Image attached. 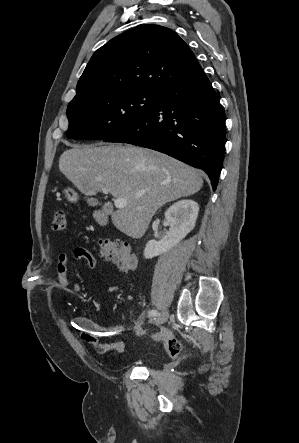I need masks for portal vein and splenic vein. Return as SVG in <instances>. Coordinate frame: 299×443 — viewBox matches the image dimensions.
Here are the masks:
<instances>
[{
	"instance_id": "obj_1",
	"label": "portal vein and splenic vein",
	"mask_w": 299,
	"mask_h": 443,
	"mask_svg": "<svg viewBox=\"0 0 299 443\" xmlns=\"http://www.w3.org/2000/svg\"><path fill=\"white\" fill-rule=\"evenodd\" d=\"M102 192L104 194H109V191L105 188L102 189ZM114 205L116 208H119V209L124 208L127 206V200H125L124 198H117L114 200Z\"/></svg>"
}]
</instances>
